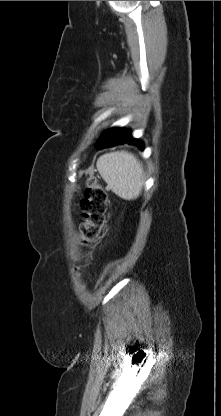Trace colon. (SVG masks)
<instances>
[{
	"instance_id": "obj_1",
	"label": "colon",
	"mask_w": 221,
	"mask_h": 416,
	"mask_svg": "<svg viewBox=\"0 0 221 416\" xmlns=\"http://www.w3.org/2000/svg\"><path fill=\"white\" fill-rule=\"evenodd\" d=\"M83 221L79 227L84 244L96 241L105 227L108 196L95 177H89L85 196L81 202Z\"/></svg>"
}]
</instances>
